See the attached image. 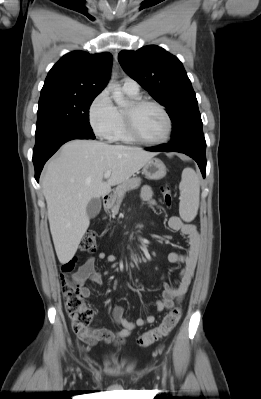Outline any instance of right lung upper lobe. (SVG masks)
Listing matches in <instances>:
<instances>
[{"mask_svg":"<svg viewBox=\"0 0 261 399\" xmlns=\"http://www.w3.org/2000/svg\"><path fill=\"white\" fill-rule=\"evenodd\" d=\"M111 64L112 55L108 52H70L49 71L40 97L54 94L98 95L108 82Z\"/></svg>","mask_w":261,"mask_h":399,"instance_id":"cb5924a9","label":"right lung upper lobe"}]
</instances>
